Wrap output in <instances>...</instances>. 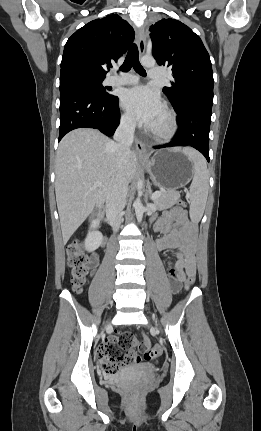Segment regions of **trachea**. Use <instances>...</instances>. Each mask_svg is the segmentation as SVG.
Returning <instances> with one entry per match:
<instances>
[{"label":"trachea","instance_id":"trachea-1","mask_svg":"<svg viewBox=\"0 0 261 431\" xmlns=\"http://www.w3.org/2000/svg\"><path fill=\"white\" fill-rule=\"evenodd\" d=\"M131 67H133L134 70L138 72L140 75L146 76V71L144 70V68L141 66L139 62V52L136 44H133L130 47L129 52L126 56V59L123 65L120 67V70L123 72H128L131 69Z\"/></svg>","mask_w":261,"mask_h":431}]
</instances>
